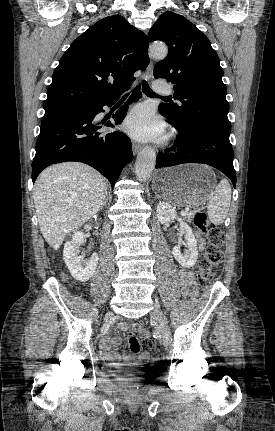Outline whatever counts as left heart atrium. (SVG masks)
Instances as JSON below:
<instances>
[{
	"label": "left heart atrium",
	"instance_id": "1",
	"mask_svg": "<svg viewBox=\"0 0 275 431\" xmlns=\"http://www.w3.org/2000/svg\"><path fill=\"white\" fill-rule=\"evenodd\" d=\"M123 128L140 141L161 140L165 132L164 122L146 105L133 109L125 119Z\"/></svg>",
	"mask_w": 275,
	"mask_h": 431
}]
</instances>
